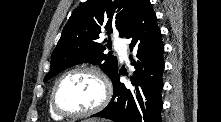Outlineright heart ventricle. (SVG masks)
<instances>
[{"label":"right heart ventricle","mask_w":221,"mask_h":122,"mask_svg":"<svg viewBox=\"0 0 221 122\" xmlns=\"http://www.w3.org/2000/svg\"><path fill=\"white\" fill-rule=\"evenodd\" d=\"M49 113L51 115V117L54 119V120H60L62 119V116L58 115L51 107L50 103H49Z\"/></svg>","instance_id":"e07e8e85"}]
</instances>
